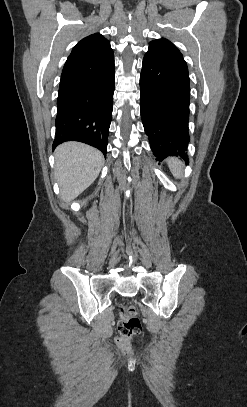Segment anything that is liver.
Returning <instances> with one entry per match:
<instances>
[{
  "instance_id": "obj_1",
  "label": "liver",
  "mask_w": 247,
  "mask_h": 407,
  "mask_svg": "<svg viewBox=\"0 0 247 407\" xmlns=\"http://www.w3.org/2000/svg\"><path fill=\"white\" fill-rule=\"evenodd\" d=\"M55 178L61 199L69 203L98 177L104 157L97 149L79 142H67L55 151Z\"/></svg>"
}]
</instances>
